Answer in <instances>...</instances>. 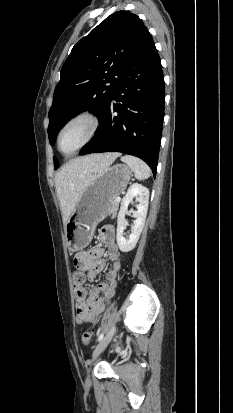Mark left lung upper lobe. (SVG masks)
<instances>
[{
    "label": "left lung upper lobe",
    "mask_w": 233,
    "mask_h": 413,
    "mask_svg": "<svg viewBox=\"0 0 233 413\" xmlns=\"http://www.w3.org/2000/svg\"><path fill=\"white\" fill-rule=\"evenodd\" d=\"M146 33L137 15L118 11L74 45L62 66L49 111L50 144L79 110L91 108L103 114L119 76ZM54 165L57 169L56 160Z\"/></svg>",
    "instance_id": "obj_1"
}]
</instances>
